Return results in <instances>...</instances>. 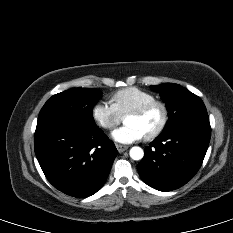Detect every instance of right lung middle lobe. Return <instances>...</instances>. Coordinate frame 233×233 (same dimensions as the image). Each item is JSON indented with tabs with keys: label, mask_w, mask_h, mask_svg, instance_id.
<instances>
[{
	"label": "right lung middle lobe",
	"mask_w": 233,
	"mask_h": 233,
	"mask_svg": "<svg viewBox=\"0 0 233 233\" xmlns=\"http://www.w3.org/2000/svg\"><path fill=\"white\" fill-rule=\"evenodd\" d=\"M101 95V91L93 88H73L55 94L42 107L38 121L62 117L95 124L92 108Z\"/></svg>",
	"instance_id": "dd1d6c3e"
}]
</instances>
